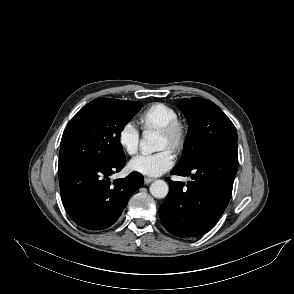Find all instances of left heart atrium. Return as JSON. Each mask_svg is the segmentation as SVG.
I'll return each instance as SVG.
<instances>
[{"instance_id": "obj_1", "label": "left heart atrium", "mask_w": 294, "mask_h": 294, "mask_svg": "<svg viewBox=\"0 0 294 294\" xmlns=\"http://www.w3.org/2000/svg\"><path fill=\"white\" fill-rule=\"evenodd\" d=\"M174 164V155L169 148L154 154H143L129 162V169L146 176H159Z\"/></svg>"}]
</instances>
